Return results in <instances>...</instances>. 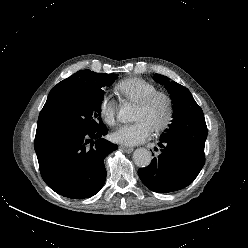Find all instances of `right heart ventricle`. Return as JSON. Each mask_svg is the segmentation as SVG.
<instances>
[{"label":"right heart ventricle","mask_w":248,"mask_h":248,"mask_svg":"<svg viewBox=\"0 0 248 248\" xmlns=\"http://www.w3.org/2000/svg\"><path fill=\"white\" fill-rule=\"evenodd\" d=\"M118 94L126 101L138 103L147 96L158 91L153 83L142 78H130L116 86Z\"/></svg>","instance_id":"e07e8e85"}]
</instances>
